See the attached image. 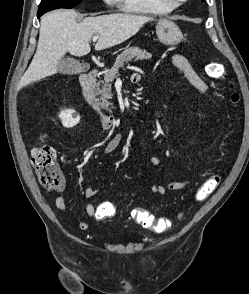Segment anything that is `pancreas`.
<instances>
[{
	"label": "pancreas",
	"mask_w": 249,
	"mask_h": 294,
	"mask_svg": "<svg viewBox=\"0 0 249 294\" xmlns=\"http://www.w3.org/2000/svg\"><path fill=\"white\" fill-rule=\"evenodd\" d=\"M152 55L139 47H131L123 51L116 59L113 67L105 71L103 80H99L97 83V93L100 95L102 101L101 106L111 111L110 106L113 104L109 102L111 99V83L117 77L119 69L124 66V63L135 58V60H148Z\"/></svg>",
	"instance_id": "pancreas-1"
}]
</instances>
